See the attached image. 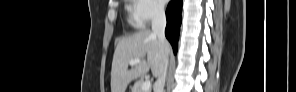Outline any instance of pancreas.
Returning a JSON list of instances; mask_svg holds the SVG:
<instances>
[{"label": "pancreas", "instance_id": "obj_1", "mask_svg": "<svg viewBox=\"0 0 296 92\" xmlns=\"http://www.w3.org/2000/svg\"><path fill=\"white\" fill-rule=\"evenodd\" d=\"M144 81L143 80H138L136 81V83L134 84L133 88H132V92H144L142 90V85H143ZM146 92H151L150 90H147Z\"/></svg>", "mask_w": 296, "mask_h": 92}]
</instances>
